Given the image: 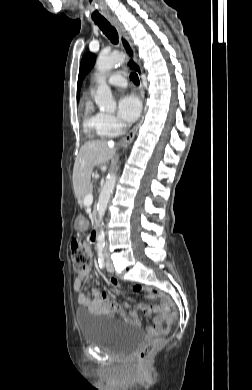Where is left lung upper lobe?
<instances>
[{"label": "left lung upper lobe", "mask_w": 252, "mask_h": 390, "mask_svg": "<svg viewBox=\"0 0 252 390\" xmlns=\"http://www.w3.org/2000/svg\"><path fill=\"white\" fill-rule=\"evenodd\" d=\"M94 58L95 56L92 53H88L82 58L80 64L79 77H78L77 98L79 96L81 81L83 80L84 76L88 73V71L92 68L94 64Z\"/></svg>", "instance_id": "obj_1"}]
</instances>
